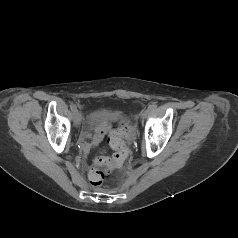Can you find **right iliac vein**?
<instances>
[{
  "label": "right iliac vein",
  "mask_w": 238,
  "mask_h": 238,
  "mask_svg": "<svg viewBox=\"0 0 238 238\" xmlns=\"http://www.w3.org/2000/svg\"><path fill=\"white\" fill-rule=\"evenodd\" d=\"M73 123L74 126L78 127L81 124V117L79 113H73Z\"/></svg>",
  "instance_id": "1"
}]
</instances>
